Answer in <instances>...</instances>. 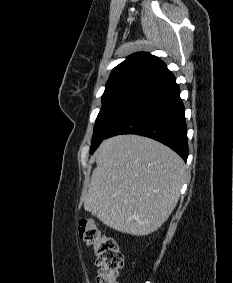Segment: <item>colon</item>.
Returning a JSON list of instances; mask_svg holds the SVG:
<instances>
[{"label": "colon", "instance_id": "5ec220e1", "mask_svg": "<svg viewBox=\"0 0 233 283\" xmlns=\"http://www.w3.org/2000/svg\"><path fill=\"white\" fill-rule=\"evenodd\" d=\"M81 238L94 248L98 268L97 283H117L118 271L123 266V256L114 238L107 236L93 219L79 223Z\"/></svg>", "mask_w": 233, "mask_h": 283}]
</instances>
